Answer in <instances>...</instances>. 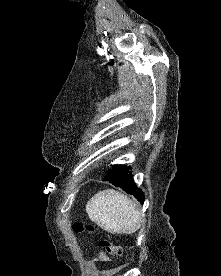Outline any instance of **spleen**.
<instances>
[{
  "mask_svg": "<svg viewBox=\"0 0 221 276\" xmlns=\"http://www.w3.org/2000/svg\"><path fill=\"white\" fill-rule=\"evenodd\" d=\"M86 212L92 222L108 233L132 234L141 227L136 203L113 189L96 193L88 201Z\"/></svg>",
  "mask_w": 221,
  "mask_h": 276,
  "instance_id": "3e777b00",
  "label": "spleen"
}]
</instances>
